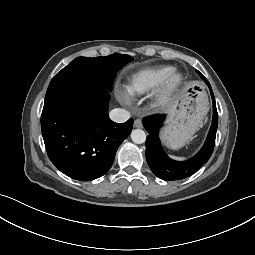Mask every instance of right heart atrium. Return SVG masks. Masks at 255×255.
<instances>
[{
    "label": "right heart atrium",
    "instance_id": "right-heart-atrium-1",
    "mask_svg": "<svg viewBox=\"0 0 255 255\" xmlns=\"http://www.w3.org/2000/svg\"><path fill=\"white\" fill-rule=\"evenodd\" d=\"M122 97L126 102L130 101V93L127 91L122 92Z\"/></svg>",
    "mask_w": 255,
    "mask_h": 255
}]
</instances>
